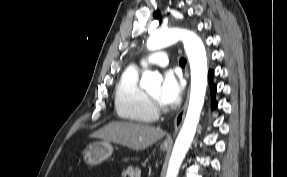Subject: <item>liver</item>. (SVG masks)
Listing matches in <instances>:
<instances>
[{
  "label": "liver",
  "instance_id": "liver-1",
  "mask_svg": "<svg viewBox=\"0 0 287 177\" xmlns=\"http://www.w3.org/2000/svg\"><path fill=\"white\" fill-rule=\"evenodd\" d=\"M165 132L153 126L128 122H110L91 137L114 142L132 150H144L160 140Z\"/></svg>",
  "mask_w": 287,
  "mask_h": 177
}]
</instances>
